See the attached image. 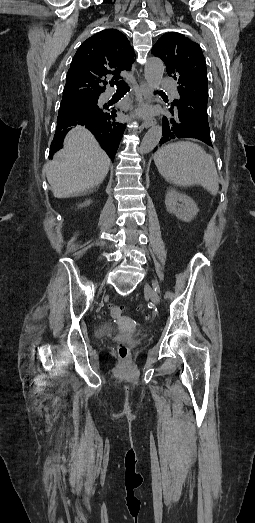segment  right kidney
I'll list each match as a JSON object with an SVG mask.
<instances>
[{
  "label": "right kidney",
  "instance_id": "obj_1",
  "mask_svg": "<svg viewBox=\"0 0 255 523\" xmlns=\"http://www.w3.org/2000/svg\"><path fill=\"white\" fill-rule=\"evenodd\" d=\"M89 204H91V200H86V202L82 204L81 208H83V206H89Z\"/></svg>",
  "mask_w": 255,
  "mask_h": 523
}]
</instances>
